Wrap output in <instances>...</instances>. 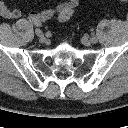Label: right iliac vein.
I'll return each mask as SVG.
<instances>
[{
    "label": "right iliac vein",
    "mask_w": 128,
    "mask_h": 128,
    "mask_svg": "<svg viewBox=\"0 0 128 128\" xmlns=\"http://www.w3.org/2000/svg\"><path fill=\"white\" fill-rule=\"evenodd\" d=\"M35 33H36V35H37L39 38H41V39L44 38V34H43L42 30L36 29V30H35Z\"/></svg>",
    "instance_id": "63e3f726"
}]
</instances>
